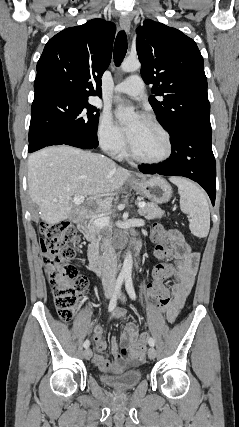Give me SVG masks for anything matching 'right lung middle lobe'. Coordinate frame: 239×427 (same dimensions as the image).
Listing matches in <instances>:
<instances>
[{"label": "right lung middle lobe", "mask_w": 239, "mask_h": 427, "mask_svg": "<svg viewBox=\"0 0 239 427\" xmlns=\"http://www.w3.org/2000/svg\"><path fill=\"white\" fill-rule=\"evenodd\" d=\"M98 118L96 107L86 99L64 96L34 99L28 150L56 142L95 147Z\"/></svg>", "instance_id": "1"}]
</instances>
